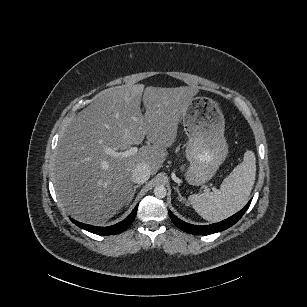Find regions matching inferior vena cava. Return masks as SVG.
Wrapping results in <instances>:
<instances>
[{"mask_svg": "<svg viewBox=\"0 0 307 307\" xmlns=\"http://www.w3.org/2000/svg\"><path fill=\"white\" fill-rule=\"evenodd\" d=\"M151 171L146 163H139L132 173V181L137 184H143L149 179Z\"/></svg>", "mask_w": 307, "mask_h": 307, "instance_id": "1", "label": "inferior vena cava"}]
</instances>
